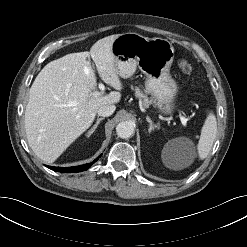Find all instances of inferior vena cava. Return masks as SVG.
<instances>
[{
    "label": "inferior vena cava",
    "mask_w": 247,
    "mask_h": 247,
    "mask_svg": "<svg viewBox=\"0 0 247 247\" xmlns=\"http://www.w3.org/2000/svg\"><path fill=\"white\" fill-rule=\"evenodd\" d=\"M115 105H102L98 108L97 113L99 116L108 117L115 111Z\"/></svg>",
    "instance_id": "602c4592"
}]
</instances>
